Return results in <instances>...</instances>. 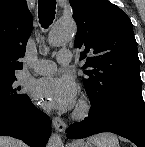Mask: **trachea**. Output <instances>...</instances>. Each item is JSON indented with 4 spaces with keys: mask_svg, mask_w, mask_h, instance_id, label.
Returning a JSON list of instances; mask_svg holds the SVG:
<instances>
[{
    "mask_svg": "<svg viewBox=\"0 0 145 147\" xmlns=\"http://www.w3.org/2000/svg\"><path fill=\"white\" fill-rule=\"evenodd\" d=\"M56 0H39L38 1V14L39 22L43 28L53 22L55 18Z\"/></svg>",
    "mask_w": 145,
    "mask_h": 147,
    "instance_id": "trachea-1",
    "label": "trachea"
}]
</instances>
